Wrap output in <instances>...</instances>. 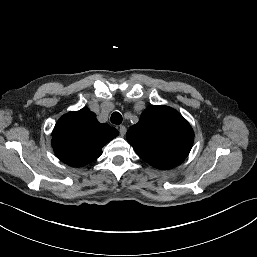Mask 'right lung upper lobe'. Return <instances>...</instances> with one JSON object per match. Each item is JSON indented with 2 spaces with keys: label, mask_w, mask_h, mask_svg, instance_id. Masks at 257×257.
Masks as SVG:
<instances>
[{
  "label": "right lung upper lobe",
  "mask_w": 257,
  "mask_h": 257,
  "mask_svg": "<svg viewBox=\"0 0 257 257\" xmlns=\"http://www.w3.org/2000/svg\"><path fill=\"white\" fill-rule=\"evenodd\" d=\"M118 135L117 129L99 123L88 108L63 115L52 132V146L57 157L73 167L96 160L102 147Z\"/></svg>",
  "instance_id": "obj_1"
}]
</instances>
